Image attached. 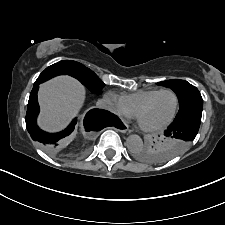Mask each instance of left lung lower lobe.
<instances>
[{"label":"left lung lower lobe","instance_id":"0a47b994","mask_svg":"<svg viewBox=\"0 0 225 225\" xmlns=\"http://www.w3.org/2000/svg\"><path fill=\"white\" fill-rule=\"evenodd\" d=\"M202 111H191L179 117H176L173 123L165 130L166 137H175L191 142L196 137L200 123ZM185 145L176 144L173 146V151L178 155L184 151ZM175 155V156H176Z\"/></svg>","mask_w":225,"mask_h":225}]
</instances>
